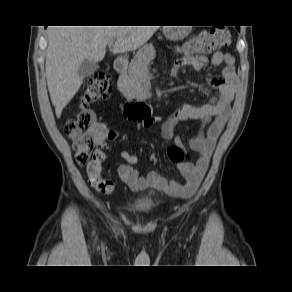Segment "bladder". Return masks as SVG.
<instances>
[{
	"label": "bladder",
	"mask_w": 292,
	"mask_h": 292,
	"mask_svg": "<svg viewBox=\"0 0 292 292\" xmlns=\"http://www.w3.org/2000/svg\"><path fill=\"white\" fill-rule=\"evenodd\" d=\"M132 206L136 211H146L151 209L154 206L153 195H147L146 197L136 200Z\"/></svg>",
	"instance_id": "bladder-1"
}]
</instances>
